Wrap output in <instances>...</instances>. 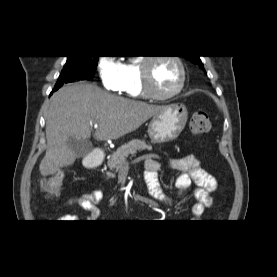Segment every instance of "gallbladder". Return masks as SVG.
<instances>
[{
  "instance_id": "1",
  "label": "gallbladder",
  "mask_w": 277,
  "mask_h": 277,
  "mask_svg": "<svg viewBox=\"0 0 277 277\" xmlns=\"http://www.w3.org/2000/svg\"><path fill=\"white\" fill-rule=\"evenodd\" d=\"M67 146L75 153L76 157H85L93 150V145L89 140L69 138Z\"/></svg>"
}]
</instances>
